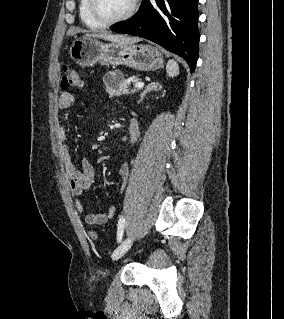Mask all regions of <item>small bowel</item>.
<instances>
[{"mask_svg": "<svg viewBox=\"0 0 284 319\" xmlns=\"http://www.w3.org/2000/svg\"><path fill=\"white\" fill-rule=\"evenodd\" d=\"M76 102L75 95L70 91H64L60 94L57 106L61 110H66L72 107ZM130 127H134L139 135L140 124L134 120L131 122ZM57 136L61 143H65L67 139V130L63 124H59L57 129ZM63 160L65 164L66 175L69 180V185L73 196L76 198L75 207L79 213L84 212V205L81 201L83 192L89 189L95 181V169L93 165L87 160L83 159L81 168L76 167L73 163L69 151L66 146L63 147ZM119 174L122 179L121 190L126 186L130 168L129 165L123 164L119 169ZM116 213V207L111 205L105 212L100 213H86L84 220L88 225L98 226L105 224L108 220L114 217Z\"/></svg>", "mask_w": 284, "mask_h": 319, "instance_id": "small-bowel-1", "label": "small bowel"}]
</instances>
